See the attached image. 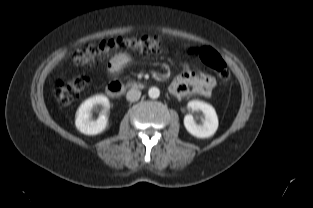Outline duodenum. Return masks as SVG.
Here are the masks:
<instances>
[{"label":"duodenum","instance_id":"410a0bca","mask_svg":"<svg viewBox=\"0 0 313 208\" xmlns=\"http://www.w3.org/2000/svg\"><path fill=\"white\" fill-rule=\"evenodd\" d=\"M143 87L142 83L140 82H119V81H112L108 83L106 87V92L108 95L112 97H120L122 96L127 90L130 89H141Z\"/></svg>","mask_w":313,"mask_h":208}]
</instances>
